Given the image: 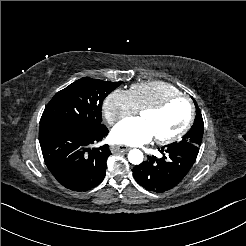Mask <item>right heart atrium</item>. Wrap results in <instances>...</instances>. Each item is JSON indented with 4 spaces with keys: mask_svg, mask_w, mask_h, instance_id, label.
I'll return each instance as SVG.
<instances>
[{
    "mask_svg": "<svg viewBox=\"0 0 246 246\" xmlns=\"http://www.w3.org/2000/svg\"><path fill=\"white\" fill-rule=\"evenodd\" d=\"M132 97L127 90L115 89L105 99L103 103V113L107 122L111 125L134 115Z\"/></svg>",
    "mask_w": 246,
    "mask_h": 246,
    "instance_id": "1",
    "label": "right heart atrium"
}]
</instances>
